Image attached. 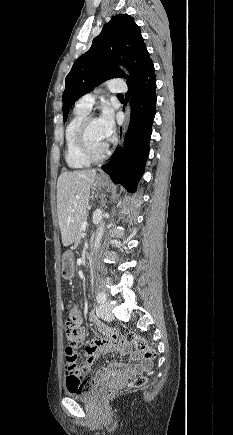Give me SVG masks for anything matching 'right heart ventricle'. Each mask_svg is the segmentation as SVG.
<instances>
[{
    "label": "right heart ventricle",
    "mask_w": 233,
    "mask_h": 435,
    "mask_svg": "<svg viewBox=\"0 0 233 435\" xmlns=\"http://www.w3.org/2000/svg\"><path fill=\"white\" fill-rule=\"evenodd\" d=\"M87 114V112L76 108L65 128V160L72 169L85 168L91 163L82 156L76 141L77 129Z\"/></svg>",
    "instance_id": "right-heart-ventricle-1"
}]
</instances>
